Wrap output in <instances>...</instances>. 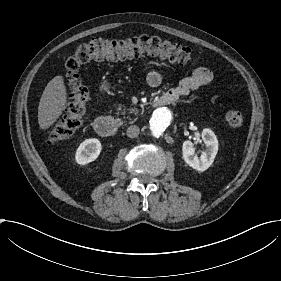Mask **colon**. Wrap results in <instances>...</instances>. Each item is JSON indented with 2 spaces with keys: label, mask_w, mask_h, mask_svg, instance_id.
<instances>
[{
  "label": "colon",
  "mask_w": 281,
  "mask_h": 281,
  "mask_svg": "<svg viewBox=\"0 0 281 281\" xmlns=\"http://www.w3.org/2000/svg\"><path fill=\"white\" fill-rule=\"evenodd\" d=\"M155 55L173 61L200 64V57L192 54L179 44L163 41L154 37H133L121 40H94L84 44L70 56L64 69L65 80L69 90L64 109L59 113L44 136V144L68 139L84 123L88 91L79 77L81 66L110 58L126 56ZM224 119L227 124L239 127L244 122L242 113L236 109H226Z\"/></svg>",
  "instance_id": "colon-1"
}]
</instances>
